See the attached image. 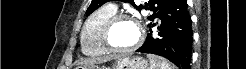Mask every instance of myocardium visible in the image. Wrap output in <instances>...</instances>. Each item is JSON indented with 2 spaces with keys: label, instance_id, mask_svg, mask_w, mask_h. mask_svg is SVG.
Listing matches in <instances>:
<instances>
[{
  "label": "myocardium",
  "instance_id": "obj_1",
  "mask_svg": "<svg viewBox=\"0 0 246 69\" xmlns=\"http://www.w3.org/2000/svg\"><path fill=\"white\" fill-rule=\"evenodd\" d=\"M121 20H129V21H132L136 28H137V31H138V37H137V40L136 42L131 45L130 47H127V48H116L114 47L111 42H110V35H111V32L114 28V26ZM144 41V29H143V26L141 24V22L136 19L134 16L130 15V14H127V13H116L114 15H112L111 17H109L104 26H103V29H102V42L104 44V46L106 47V49L108 51H110L111 53H115V54H124V53H127V52H131V51H134L136 50L137 48H139L141 46V44L143 43Z\"/></svg>",
  "mask_w": 246,
  "mask_h": 69
}]
</instances>
